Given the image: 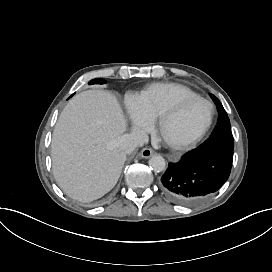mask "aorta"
Instances as JSON below:
<instances>
[{
	"instance_id": "762f6f07",
	"label": "aorta",
	"mask_w": 272,
	"mask_h": 272,
	"mask_svg": "<svg viewBox=\"0 0 272 272\" xmlns=\"http://www.w3.org/2000/svg\"><path fill=\"white\" fill-rule=\"evenodd\" d=\"M149 166L155 172H162L165 167V159L161 155H154L149 159Z\"/></svg>"
}]
</instances>
